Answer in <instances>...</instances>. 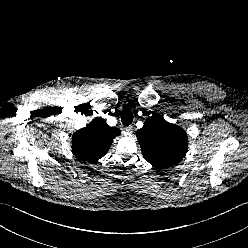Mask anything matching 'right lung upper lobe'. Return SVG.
I'll list each match as a JSON object with an SVG mask.
<instances>
[{
    "mask_svg": "<svg viewBox=\"0 0 248 248\" xmlns=\"http://www.w3.org/2000/svg\"><path fill=\"white\" fill-rule=\"evenodd\" d=\"M118 135V128L109 127L103 118L98 117L73 134V153L80 160L94 163L108 152Z\"/></svg>",
    "mask_w": 248,
    "mask_h": 248,
    "instance_id": "1",
    "label": "right lung upper lobe"
}]
</instances>
